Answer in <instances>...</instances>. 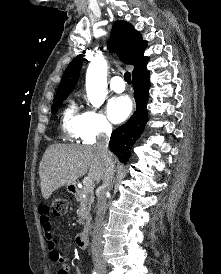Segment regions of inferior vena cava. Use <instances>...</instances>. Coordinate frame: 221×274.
Returning a JSON list of instances; mask_svg holds the SVG:
<instances>
[{
  "label": "inferior vena cava",
  "instance_id": "inferior-vena-cava-1",
  "mask_svg": "<svg viewBox=\"0 0 221 274\" xmlns=\"http://www.w3.org/2000/svg\"><path fill=\"white\" fill-rule=\"evenodd\" d=\"M105 135L103 138L97 143L95 147H97L101 156L105 160L106 170L104 173V177L102 179L103 184L100 187V193L98 194L97 201V216L95 220V226L93 230V239L91 244L92 256L94 260L101 258L103 244H102V236L101 231L104 226V215L106 212V196L107 191L112 188V180L114 178L115 167L112 159V155L108 150L109 138L112 132V128L110 125H105L103 128Z\"/></svg>",
  "mask_w": 221,
  "mask_h": 274
}]
</instances>
